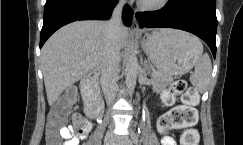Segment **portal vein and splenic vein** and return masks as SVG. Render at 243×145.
Listing matches in <instances>:
<instances>
[{
    "mask_svg": "<svg viewBox=\"0 0 243 145\" xmlns=\"http://www.w3.org/2000/svg\"><path fill=\"white\" fill-rule=\"evenodd\" d=\"M159 73H152L151 76H157Z\"/></svg>",
    "mask_w": 243,
    "mask_h": 145,
    "instance_id": "1",
    "label": "portal vein and splenic vein"
}]
</instances>
